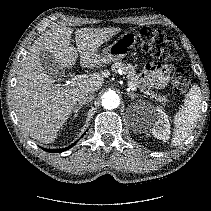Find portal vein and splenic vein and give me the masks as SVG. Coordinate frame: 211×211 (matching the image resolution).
Listing matches in <instances>:
<instances>
[{
	"instance_id": "obj_1",
	"label": "portal vein and splenic vein",
	"mask_w": 211,
	"mask_h": 211,
	"mask_svg": "<svg viewBox=\"0 0 211 211\" xmlns=\"http://www.w3.org/2000/svg\"><path fill=\"white\" fill-rule=\"evenodd\" d=\"M85 78H87V75H76V76H73L72 79H71V83L73 85H76V84H78L80 81H82ZM128 87H129V89H131L133 91L136 90V87L130 81L128 82Z\"/></svg>"
}]
</instances>
